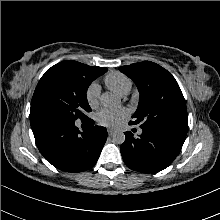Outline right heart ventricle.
Wrapping results in <instances>:
<instances>
[{
  "label": "right heart ventricle",
  "mask_w": 220,
  "mask_h": 220,
  "mask_svg": "<svg viewBox=\"0 0 220 220\" xmlns=\"http://www.w3.org/2000/svg\"><path fill=\"white\" fill-rule=\"evenodd\" d=\"M104 83L110 90L120 95L128 93L132 86L131 79L117 71L108 73L104 77Z\"/></svg>",
  "instance_id": "right-heart-ventricle-1"
}]
</instances>
